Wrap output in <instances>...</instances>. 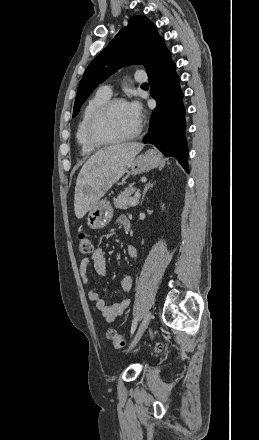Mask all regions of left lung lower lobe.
<instances>
[{
  "mask_svg": "<svg viewBox=\"0 0 259 440\" xmlns=\"http://www.w3.org/2000/svg\"><path fill=\"white\" fill-rule=\"evenodd\" d=\"M175 69L171 53L163 41L146 66L150 93L157 106L142 142L153 144L167 157H175L188 172L183 93Z\"/></svg>",
  "mask_w": 259,
  "mask_h": 440,
  "instance_id": "0a47b994",
  "label": "left lung lower lobe"
}]
</instances>
